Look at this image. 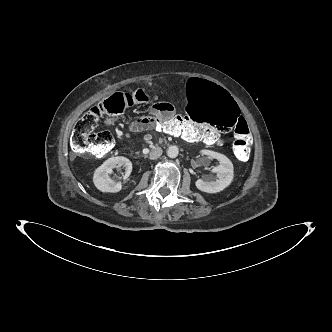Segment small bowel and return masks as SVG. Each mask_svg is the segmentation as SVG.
<instances>
[{
    "label": "small bowel",
    "instance_id": "c3829d8e",
    "mask_svg": "<svg viewBox=\"0 0 332 332\" xmlns=\"http://www.w3.org/2000/svg\"><path fill=\"white\" fill-rule=\"evenodd\" d=\"M131 100L137 104H146L149 101L147 91L144 88L137 87L131 91ZM160 115L163 120H173L176 117V110L172 103L167 101H159L151 106L150 113L141 115L130 121L126 114L114 116L107 114L103 118V124L107 128L117 127L122 128L129 126L132 132L151 131L154 129L152 120ZM186 138V137H185ZM191 141L195 140L193 134L189 135Z\"/></svg>",
    "mask_w": 332,
    "mask_h": 332
}]
</instances>
